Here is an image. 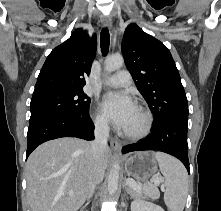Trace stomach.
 I'll return each instance as SVG.
<instances>
[{
    "instance_id": "1",
    "label": "stomach",
    "mask_w": 221,
    "mask_h": 211,
    "mask_svg": "<svg viewBox=\"0 0 221 211\" xmlns=\"http://www.w3.org/2000/svg\"><path fill=\"white\" fill-rule=\"evenodd\" d=\"M158 169L154 153L150 151L137 152L126 159L125 170L129 176L139 180H147Z\"/></svg>"
}]
</instances>
